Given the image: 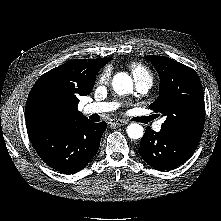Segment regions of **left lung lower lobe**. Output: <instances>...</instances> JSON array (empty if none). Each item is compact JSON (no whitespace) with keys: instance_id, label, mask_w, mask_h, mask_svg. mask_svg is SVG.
Returning <instances> with one entry per match:
<instances>
[{"instance_id":"1","label":"left lung lower lobe","mask_w":221,"mask_h":221,"mask_svg":"<svg viewBox=\"0 0 221 221\" xmlns=\"http://www.w3.org/2000/svg\"><path fill=\"white\" fill-rule=\"evenodd\" d=\"M197 145V142L161 131L156 133L147 127L138 152L147 164L163 171L174 169L187 161Z\"/></svg>"}]
</instances>
